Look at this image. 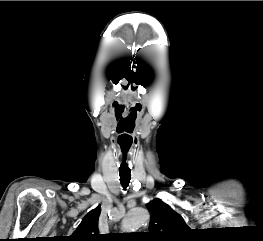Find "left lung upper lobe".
Wrapping results in <instances>:
<instances>
[{
  "mask_svg": "<svg viewBox=\"0 0 263 241\" xmlns=\"http://www.w3.org/2000/svg\"><path fill=\"white\" fill-rule=\"evenodd\" d=\"M151 213L148 235L157 241H185L191 231L181 215L162 200L146 204Z\"/></svg>",
  "mask_w": 263,
  "mask_h": 241,
  "instance_id": "5c2ea615",
  "label": "left lung upper lobe"
}]
</instances>
